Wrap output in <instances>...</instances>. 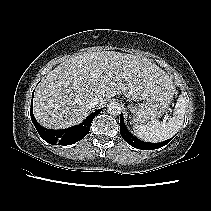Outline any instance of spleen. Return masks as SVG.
<instances>
[{
    "instance_id": "spleen-1",
    "label": "spleen",
    "mask_w": 211,
    "mask_h": 211,
    "mask_svg": "<svg viewBox=\"0 0 211 211\" xmlns=\"http://www.w3.org/2000/svg\"><path fill=\"white\" fill-rule=\"evenodd\" d=\"M186 100L179 96L175 105L172 118L168 122L160 123L158 120L146 125H134V132L142 139L149 142H161L173 137L181 128L184 122Z\"/></svg>"
}]
</instances>
